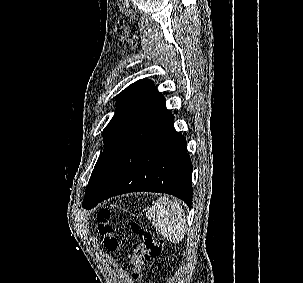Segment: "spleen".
<instances>
[{
	"label": "spleen",
	"instance_id": "obj_1",
	"mask_svg": "<svg viewBox=\"0 0 303 283\" xmlns=\"http://www.w3.org/2000/svg\"><path fill=\"white\" fill-rule=\"evenodd\" d=\"M146 216L158 232L173 243L182 241L186 231V217L182 206L167 196L157 198Z\"/></svg>",
	"mask_w": 303,
	"mask_h": 283
}]
</instances>
